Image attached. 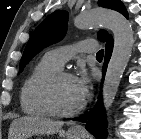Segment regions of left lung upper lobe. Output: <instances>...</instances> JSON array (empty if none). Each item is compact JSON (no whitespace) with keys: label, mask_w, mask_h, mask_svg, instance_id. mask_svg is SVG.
Instances as JSON below:
<instances>
[{"label":"left lung upper lobe","mask_w":141,"mask_h":139,"mask_svg":"<svg viewBox=\"0 0 141 139\" xmlns=\"http://www.w3.org/2000/svg\"><path fill=\"white\" fill-rule=\"evenodd\" d=\"M99 5L105 8L116 10L128 18L127 10L121 0H99ZM68 14L66 11H55L50 14L33 32L26 48L24 50L21 62L20 72L29 61L42 49L60 41L66 32ZM111 37L104 30L98 32V39L102 42Z\"/></svg>","instance_id":"1"}]
</instances>
